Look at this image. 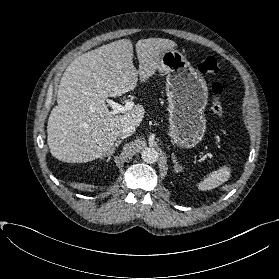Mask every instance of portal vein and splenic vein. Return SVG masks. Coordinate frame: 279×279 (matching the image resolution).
<instances>
[{
    "mask_svg": "<svg viewBox=\"0 0 279 279\" xmlns=\"http://www.w3.org/2000/svg\"><path fill=\"white\" fill-rule=\"evenodd\" d=\"M106 102L112 108L110 114L115 115L119 113H125L133 108L134 103L132 101H127L125 105H121L113 100L107 99Z\"/></svg>",
    "mask_w": 279,
    "mask_h": 279,
    "instance_id": "obj_1",
    "label": "portal vein and splenic vein"
}]
</instances>
